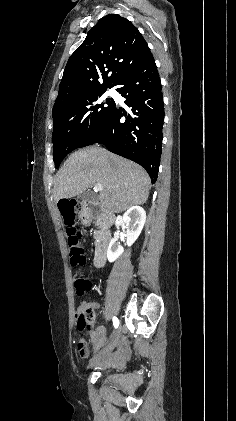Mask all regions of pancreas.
I'll use <instances>...</instances> for the list:
<instances>
[{"mask_svg":"<svg viewBox=\"0 0 236 421\" xmlns=\"http://www.w3.org/2000/svg\"><path fill=\"white\" fill-rule=\"evenodd\" d=\"M103 227H104V225L102 223V219H98V221L96 223L97 231H95V233H94V239H98V235H101Z\"/></svg>","mask_w":236,"mask_h":421,"instance_id":"pancreas-1","label":"pancreas"}]
</instances>
